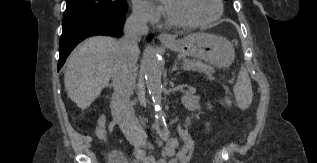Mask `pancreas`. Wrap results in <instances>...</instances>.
Listing matches in <instances>:
<instances>
[{
  "instance_id": "1",
  "label": "pancreas",
  "mask_w": 317,
  "mask_h": 163,
  "mask_svg": "<svg viewBox=\"0 0 317 163\" xmlns=\"http://www.w3.org/2000/svg\"><path fill=\"white\" fill-rule=\"evenodd\" d=\"M183 67H186L187 70L199 71L201 73H205L208 77H212L214 73V69L211 65L204 63L200 60H191L187 58H183Z\"/></svg>"
}]
</instances>
